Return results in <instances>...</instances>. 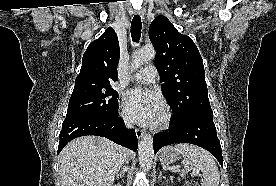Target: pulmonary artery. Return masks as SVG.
I'll return each instance as SVG.
<instances>
[{
    "instance_id": "e3ab8cb5",
    "label": "pulmonary artery",
    "mask_w": 276,
    "mask_h": 186,
    "mask_svg": "<svg viewBox=\"0 0 276 186\" xmlns=\"http://www.w3.org/2000/svg\"><path fill=\"white\" fill-rule=\"evenodd\" d=\"M158 72L154 66H147L132 77V81L136 83L148 84L156 80Z\"/></svg>"
}]
</instances>
